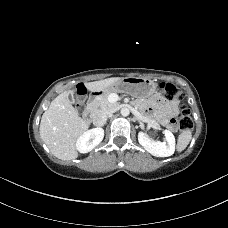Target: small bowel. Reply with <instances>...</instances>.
<instances>
[{"label":"small bowel","mask_w":228,"mask_h":228,"mask_svg":"<svg viewBox=\"0 0 228 228\" xmlns=\"http://www.w3.org/2000/svg\"><path fill=\"white\" fill-rule=\"evenodd\" d=\"M150 103L152 105L151 110H155L159 113L158 118L164 125L169 123L168 115H174L178 111V105L176 102L166 101L159 95L152 97Z\"/></svg>","instance_id":"small-bowel-1"}]
</instances>
